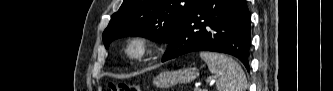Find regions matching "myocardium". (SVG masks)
<instances>
[{"instance_id":"1","label":"myocardium","mask_w":333,"mask_h":91,"mask_svg":"<svg viewBox=\"0 0 333 91\" xmlns=\"http://www.w3.org/2000/svg\"><path fill=\"white\" fill-rule=\"evenodd\" d=\"M122 51L129 61L141 62L156 57L161 51V44L152 35L137 33L126 39Z\"/></svg>"}]
</instances>
